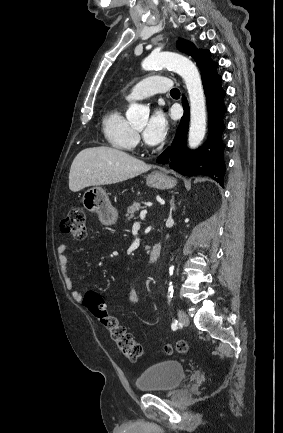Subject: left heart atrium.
<instances>
[{"instance_id":"obj_1","label":"left heart atrium","mask_w":283,"mask_h":433,"mask_svg":"<svg viewBox=\"0 0 283 433\" xmlns=\"http://www.w3.org/2000/svg\"><path fill=\"white\" fill-rule=\"evenodd\" d=\"M169 122L159 106L155 107L146 127L143 130V139L149 149H156L167 137Z\"/></svg>"}]
</instances>
